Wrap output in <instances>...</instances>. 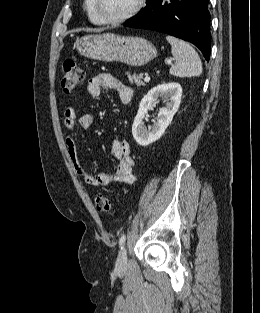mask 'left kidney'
Masks as SVG:
<instances>
[{
	"mask_svg": "<svg viewBox=\"0 0 260 313\" xmlns=\"http://www.w3.org/2000/svg\"><path fill=\"white\" fill-rule=\"evenodd\" d=\"M181 96L180 84L167 83L154 87L143 97L132 126V135L139 145L147 146L164 134L180 106ZM160 97L164 99L165 107L159 110L158 118L154 124L147 128L143 120L148 110L158 102Z\"/></svg>",
	"mask_w": 260,
	"mask_h": 313,
	"instance_id": "1",
	"label": "left kidney"
}]
</instances>
